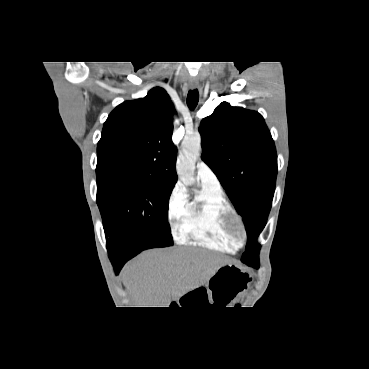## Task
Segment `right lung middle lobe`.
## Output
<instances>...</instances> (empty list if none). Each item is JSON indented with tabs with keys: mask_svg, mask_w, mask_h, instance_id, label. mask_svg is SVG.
<instances>
[{
	"mask_svg": "<svg viewBox=\"0 0 369 369\" xmlns=\"http://www.w3.org/2000/svg\"><path fill=\"white\" fill-rule=\"evenodd\" d=\"M97 204L107 248L134 251L173 245L168 203L174 185L135 171L96 169Z\"/></svg>",
	"mask_w": 369,
	"mask_h": 369,
	"instance_id": "dd1d6c3e",
	"label": "right lung middle lobe"
}]
</instances>
